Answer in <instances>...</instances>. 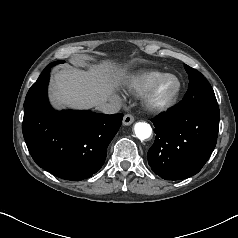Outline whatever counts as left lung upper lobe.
I'll list each match as a JSON object with an SVG mask.
<instances>
[{"label": "left lung upper lobe", "instance_id": "left-lung-upper-lobe-1", "mask_svg": "<svg viewBox=\"0 0 238 238\" xmlns=\"http://www.w3.org/2000/svg\"><path fill=\"white\" fill-rule=\"evenodd\" d=\"M189 75V86L183 100L176 106L182 113L189 112L204 105H215L217 100L207 79L197 70L184 65Z\"/></svg>", "mask_w": 238, "mask_h": 238}]
</instances>
